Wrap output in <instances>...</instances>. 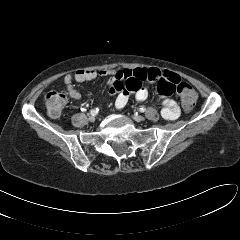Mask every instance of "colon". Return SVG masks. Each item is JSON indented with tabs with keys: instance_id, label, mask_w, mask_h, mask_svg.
Returning a JSON list of instances; mask_svg holds the SVG:
<instances>
[{
	"instance_id": "obj_1",
	"label": "colon",
	"mask_w": 240,
	"mask_h": 240,
	"mask_svg": "<svg viewBox=\"0 0 240 240\" xmlns=\"http://www.w3.org/2000/svg\"><path fill=\"white\" fill-rule=\"evenodd\" d=\"M176 91L180 97L181 103L185 110L189 111L193 108L197 100V94L195 90L187 83L180 82ZM66 96L64 93L50 91L45 97V104L48 113L51 116H59L65 106Z\"/></svg>"
}]
</instances>
